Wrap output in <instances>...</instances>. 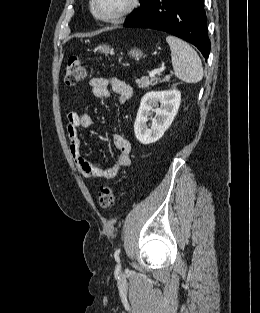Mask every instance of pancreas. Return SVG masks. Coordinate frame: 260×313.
<instances>
[{"label": "pancreas", "mask_w": 260, "mask_h": 313, "mask_svg": "<svg viewBox=\"0 0 260 313\" xmlns=\"http://www.w3.org/2000/svg\"><path fill=\"white\" fill-rule=\"evenodd\" d=\"M169 78L165 77L163 79H159L157 77L149 79L148 77H142L141 79H136V83L138 84V87L141 89H147L149 86H154L156 85L159 81L160 82H165L168 81Z\"/></svg>", "instance_id": "pancreas-1"}]
</instances>
